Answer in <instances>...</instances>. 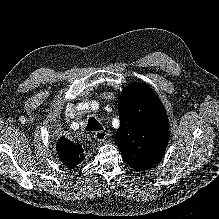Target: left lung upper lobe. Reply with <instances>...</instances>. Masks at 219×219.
I'll return each mask as SVG.
<instances>
[{"mask_svg": "<svg viewBox=\"0 0 219 219\" xmlns=\"http://www.w3.org/2000/svg\"><path fill=\"white\" fill-rule=\"evenodd\" d=\"M118 111L116 142L124 162L137 171L151 168L162 159L169 138L162 103L147 85L133 83L121 93Z\"/></svg>", "mask_w": 219, "mask_h": 219, "instance_id": "left-lung-upper-lobe-1", "label": "left lung upper lobe"}]
</instances>
